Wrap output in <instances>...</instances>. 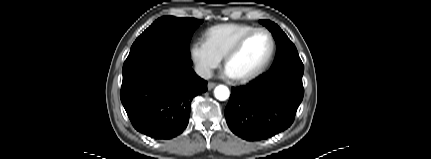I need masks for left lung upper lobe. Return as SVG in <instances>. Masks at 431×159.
<instances>
[{
    "label": "left lung upper lobe",
    "mask_w": 431,
    "mask_h": 159,
    "mask_svg": "<svg viewBox=\"0 0 431 159\" xmlns=\"http://www.w3.org/2000/svg\"><path fill=\"white\" fill-rule=\"evenodd\" d=\"M260 23L272 32L277 44L276 57L271 69L285 65L303 66L295 45L281 28L269 20H260Z\"/></svg>",
    "instance_id": "obj_1"
}]
</instances>
